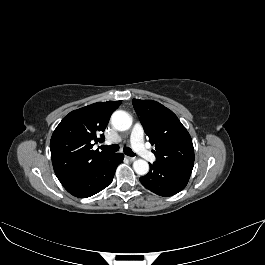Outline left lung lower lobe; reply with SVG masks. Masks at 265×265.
I'll return each mask as SVG.
<instances>
[{
	"label": "left lung lower lobe",
	"instance_id": "1",
	"mask_svg": "<svg viewBox=\"0 0 265 265\" xmlns=\"http://www.w3.org/2000/svg\"><path fill=\"white\" fill-rule=\"evenodd\" d=\"M193 165L150 164L147 175L140 177L142 185L157 195L169 197L177 194L187 185Z\"/></svg>",
	"mask_w": 265,
	"mask_h": 265
}]
</instances>
